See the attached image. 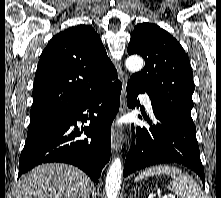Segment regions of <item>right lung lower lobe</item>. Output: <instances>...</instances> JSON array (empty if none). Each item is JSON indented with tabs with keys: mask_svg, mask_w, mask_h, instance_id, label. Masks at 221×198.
Instances as JSON below:
<instances>
[{
	"mask_svg": "<svg viewBox=\"0 0 221 198\" xmlns=\"http://www.w3.org/2000/svg\"><path fill=\"white\" fill-rule=\"evenodd\" d=\"M121 89L117 80L76 107L30 126L19 158L18 177L40 164L63 162L79 167L98 183L110 159L111 124L119 110ZM87 120L88 127H77V121ZM83 133L87 138L79 139Z\"/></svg>",
	"mask_w": 221,
	"mask_h": 198,
	"instance_id": "98d812e1",
	"label": "right lung lower lobe"
}]
</instances>
